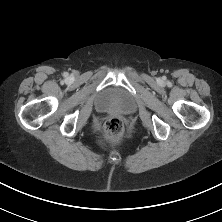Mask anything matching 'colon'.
<instances>
[{
	"instance_id": "1",
	"label": "colon",
	"mask_w": 222,
	"mask_h": 222,
	"mask_svg": "<svg viewBox=\"0 0 222 222\" xmlns=\"http://www.w3.org/2000/svg\"><path fill=\"white\" fill-rule=\"evenodd\" d=\"M106 137L110 140L119 139L124 132L123 121L118 117H112L104 125Z\"/></svg>"
}]
</instances>
